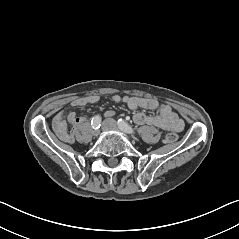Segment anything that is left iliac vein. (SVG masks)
Here are the masks:
<instances>
[{"mask_svg":"<svg viewBox=\"0 0 239 239\" xmlns=\"http://www.w3.org/2000/svg\"><path fill=\"white\" fill-rule=\"evenodd\" d=\"M105 122L109 124L110 129H112V130H118L119 129V127L117 125V122L115 120L107 119Z\"/></svg>","mask_w":239,"mask_h":239,"instance_id":"left-iliac-vein-1","label":"left iliac vein"}]
</instances>
